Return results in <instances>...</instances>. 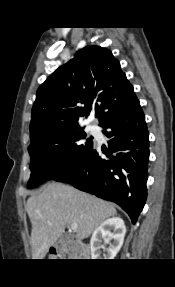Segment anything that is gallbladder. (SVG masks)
Returning a JSON list of instances; mask_svg holds the SVG:
<instances>
[{
    "label": "gallbladder",
    "mask_w": 175,
    "mask_h": 287,
    "mask_svg": "<svg viewBox=\"0 0 175 287\" xmlns=\"http://www.w3.org/2000/svg\"><path fill=\"white\" fill-rule=\"evenodd\" d=\"M74 237V235L72 233H63L60 238H59V241L60 242H64V241H67L69 239H72Z\"/></svg>",
    "instance_id": "obj_1"
}]
</instances>
